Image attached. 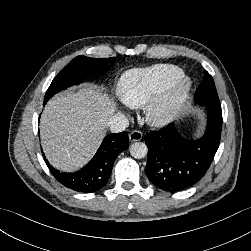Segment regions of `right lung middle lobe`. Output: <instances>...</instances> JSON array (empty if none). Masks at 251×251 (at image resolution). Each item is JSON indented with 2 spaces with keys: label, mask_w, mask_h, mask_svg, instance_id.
<instances>
[{
  "label": "right lung middle lobe",
  "mask_w": 251,
  "mask_h": 251,
  "mask_svg": "<svg viewBox=\"0 0 251 251\" xmlns=\"http://www.w3.org/2000/svg\"><path fill=\"white\" fill-rule=\"evenodd\" d=\"M114 62L113 57L90 58L82 55L75 57L51 82L44 98V104L57 92L78 84L85 78L106 72Z\"/></svg>",
  "instance_id": "right-lung-middle-lobe-1"
}]
</instances>
